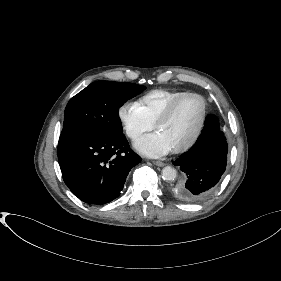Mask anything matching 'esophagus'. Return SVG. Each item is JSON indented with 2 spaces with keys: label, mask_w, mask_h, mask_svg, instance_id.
<instances>
[{
  "label": "esophagus",
  "mask_w": 281,
  "mask_h": 281,
  "mask_svg": "<svg viewBox=\"0 0 281 281\" xmlns=\"http://www.w3.org/2000/svg\"><path fill=\"white\" fill-rule=\"evenodd\" d=\"M153 164L158 166V167H162V166L165 165L162 161H153Z\"/></svg>",
  "instance_id": "34e87169"
}]
</instances>
